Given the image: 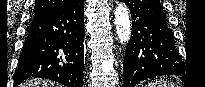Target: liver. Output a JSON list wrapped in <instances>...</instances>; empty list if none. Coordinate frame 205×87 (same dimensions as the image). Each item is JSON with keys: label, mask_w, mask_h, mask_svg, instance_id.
Returning a JSON list of instances; mask_svg holds the SVG:
<instances>
[{"label": "liver", "mask_w": 205, "mask_h": 87, "mask_svg": "<svg viewBox=\"0 0 205 87\" xmlns=\"http://www.w3.org/2000/svg\"><path fill=\"white\" fill-rule=\"evenodd\" d=\"M21 87H57V84L51 83L46 80L31 79L24 82Z\"/></svg>", "instance_id": "liver-1"}]
</instances>
